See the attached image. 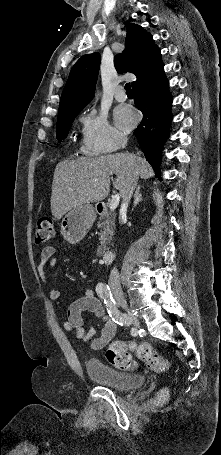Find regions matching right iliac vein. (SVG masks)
<instances>
[{
    "mask_svg": "<svg viewBox=\"0 0 221 455\" xmlns=\"http://www.w3.org/2000/svg\"><path fill=\"white\" fill-rule=\"evenodd\" d=\"M114 299L119 306H121L123 309H125L128 312L130 319L134 322V324L139 326L138 319L130 313L128 304H127L125 298L122 295H115Z\"/></svg>",
    "mask_w": 221,
    "mask_h": 455,
    "instance_id": "63e3f726",
    "label": "right iliac vein"
}]
</instances>
